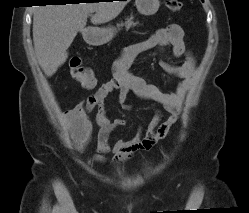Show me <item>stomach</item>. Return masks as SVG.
Returning a JSON list of instances; mask_svg holds the SVG:
<instances>
[{"mask_svg":"<svg viewBox=\"0 0 249 213\" xmlns=\"http://www.w3.org/2000/svg\"><path fill=\"white\" fill-rule=\"evenodd\" d=\"M135 5L139 13L143 15L155 14L160 6L159 0H135ZM115 35V29L113 27L94 29L87 36L86 41L94 46H100L108 43Z\"/></svg>","mask_w":249,"mask_h":213,"instance_id":"1","label":"stomach"}]
</instances>
